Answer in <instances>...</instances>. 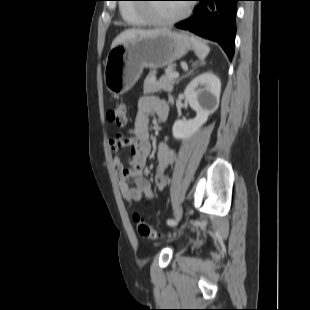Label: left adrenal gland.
<instances>
[{"instance_id": "left-adrenal-gland-1", "label": "left adrenal gland", "mask_w": 310, "mask_h": 310, "mask_svg": "<svg viewBox=\"0 0 310 310\" xmlns=\"http://www.w3.org/2000/svg\"><path fill=\"white\" fill-rule=\"evenodd\" d=\"M193 69L191 71H189L186 75L182 76L181 78H179L177 81H176V84H178L183 78L189 76L190 74L193 73V71L198 67V66H201V65H204V62L200 63L197 61V62H194L193 64Z\"/></svg>"}]
</instances>
